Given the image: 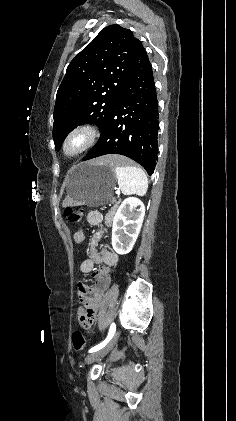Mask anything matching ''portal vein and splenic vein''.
Segmentation results:
<instances>
[{"mask_svg": "<svg viewBox=\"0 0 236 421\" xmlns=\"http://www.w3.org/2000/svg\"><path fill=\"white\" fill-rule=\"evenodd\" d=\"M116 194H120V192H116Z\"/></svg>", "mask_w": 236, "mask_h": 421, "instance_id": "portal-vein-and-splenic-vein-1", "label": "portal vein and splenic vein"}]
</instances>
